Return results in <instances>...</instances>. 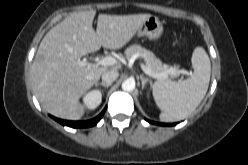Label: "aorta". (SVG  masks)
Returning a JSON list of instances; mask_svg holds the SVG:
<instances>
[{
	"label": "aorta",
	"instance_id": "1",
	"mask_svg": "<svg viewBox=\"0 0 248 165\" xmlns=\"http://www.w3.org/2000/svg\"><path fill=\"white\" fill-rule=\"evenodd\" d=\"M122 89L127 92L133 91L135 89V81L133 79L123 81Z\"/></svg>",
	"mask_w": 248,
	"mask_h": 165
}]
</instances>
